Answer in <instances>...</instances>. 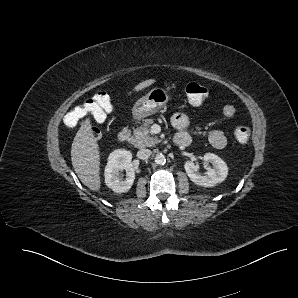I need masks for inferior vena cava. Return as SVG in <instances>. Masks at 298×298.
Wrapping results in <instances>:
<instances>
[{
    "label": "inferior vena cava",
    "instance_id": "inferior-vena-cava-1",
    "mask_svg": "<svg viewBox=\"0 0 298 298\" xmlns=\"http://www.w3.org/2000/svg\"><path fill=\"white\" fill-rule=\"evenodd\" d=\"M151 154H152V152L149 149H140L137 152V157L139 159L145 160V159H148L151 156Z\"/></svg>",
    "mask_w": 298,
    "mask_h": 298
}]
</instances>
